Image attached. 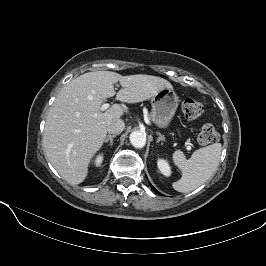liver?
<instances>
[{"label":"liver","mask_w":266,"mask_h":266,"mask_svg":"<svg viewBox=\"0 0 266 266\" xmlns=\"http://www.w3.org/2000/svg\"><path fill=\"white\" fill-rule=\"evenodd\" d=\"M117 82L122 86L117 99L126 103L142 102L164 88L173 89L161 77L122 76L111 71L88 72L66 84L46 118L43 148L50 163L72 185L85 180L92 158L106 139L108 123L125 112L119 104L100 109L105 99L115 95L113 84Z\"/></svg>","instance_id":"liver-1"}]
</instances>
